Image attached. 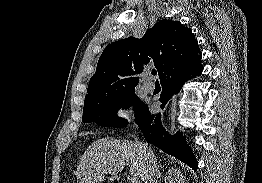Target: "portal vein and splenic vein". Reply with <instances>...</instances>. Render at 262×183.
Wrapping results in <instances>:
<instances>
[{
	"label": "portal vein and splenic vein",
	"instance_id": "portal-vein-and-splenic-vein-1",
	"mask_svg": "<svg viewBox=\"0 0 262 183\" xmlns=\"http://www.w3.org/2000/svg\"><path fill=\"white\" fill-rule=\"evenodd\" d=\"M131 183H139V178L138 177L131 178Z\"/></svg>",
	"mask_w": 262,
	"mask_h": 183
}]
</instances>
